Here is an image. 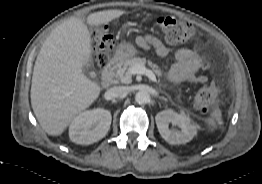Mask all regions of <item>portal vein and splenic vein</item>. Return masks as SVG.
<instances>
[{
  "mask_svg": "<svg viewBox=\"0 0 262 184\" xmlns=\"http://www.w3.org/2000/svg\"><path fill=\"white\" fill-rule=\"evenodd\" d=\"M131 74H142V75H146L150 80L152 81H156V76L155 74L147 69L145 66L143 65H136L134 67L131 68L130 70Z\"/></svg>",
  "mask_w": 262,
  "mask_h": 184,
  "instance_id": "obj_1",
  "label": "portal vein and splenic vein"
}]
</instances>
